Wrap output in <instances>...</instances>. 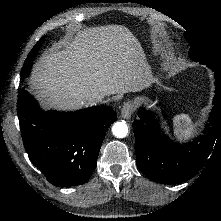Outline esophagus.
<instances>
[{
  "mask_svg": "<svg viewBox=\"0 0 221 221\" xmlns=\"http://www.w3.org/2000/svg\"><path fill=\"white\" fill-rule=\"evenodd\" d=\"M134 105L131 101L124 103L121 109V117L124 119H130L132 114L134 113Z\"/></svg>",
  "mask_w": 221,
  "mask_h": 221,
  "instance_id": "34e87169",
  "label": "esophagus"
}]
</instances>
